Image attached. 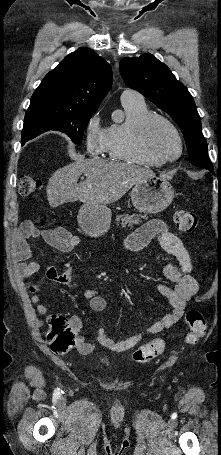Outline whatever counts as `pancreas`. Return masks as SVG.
I'll return each mask as SVG.
<instances>
[{"label":"pancreas","mask_w":221,"mask_h":455,"mask_svg":"<svg viewBox=\"0 0 221 455\" xmlns=\"http://www.w3.org/2000/svg\"><path fill=\"white\" fill-rule=\"evenodd\" d=\"M141 219H146V217L138 214L137 215L120 214L116 216L117 225L121 224L123 228L127 226L132 228L134 225L139 224L141 222Z\"/></svg>","instance_id":"pancreas-1"}]
</instances>
